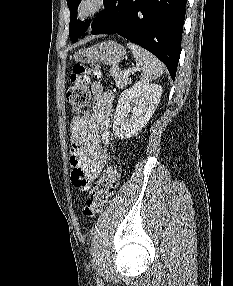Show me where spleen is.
<instances>
[{
  "mask_svg": "<svg viewBox=\"0 0 233 286\" xmlns=\"http://www.w3.org/2000/svg\"><path fill=\"white\" fill-rule=\"evenodd\" d=\"M127 46L131 49L137 65L141 68L143 83H148L162 75L163 64L153 54L131 42L127 43Z\"/></svg>",
  "mask_w": 233,
  "mask_h": 286,
  "instance_id": "spleen-1",
  "label": "spleen"
}]
</instances>
